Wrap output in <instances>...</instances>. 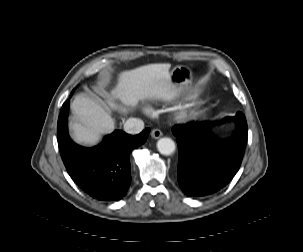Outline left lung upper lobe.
Wrapping results in <instances>:
<instances>
[{
    "instance_id": "obj_1",
    "label": "left lung upper lobe",
    "mask_w": 303,
    "mask_h": 252,
    "mask_svg": "<svg viewBox=\"0 0 303 252\" xmlns=\"http://www.w3.org/2000/svg\"><path fill=\"white\" fill-rule=\"evenodd\" d=\"M235 117H245L241 112H238Z\"/></svg>"
}]
</instances>
